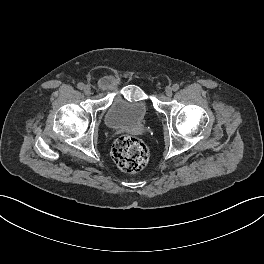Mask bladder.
<instances>
[{"label":"bladder","instance_id":"bladder-1","mask_svg":"<svg viewBox=\"0 0 264 264\" xmlns=\"http://www.w3.org/2000/svg\"><path fill=\"white\" fill-rule=\"evenodd\" d=\"M150 112L147 99L128 100L114 92L104 114V123L111 129L132 128L143 123Z\"/></svg>","mask_w":264,"mask_h":264}]
</instances>
